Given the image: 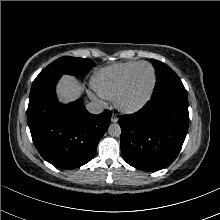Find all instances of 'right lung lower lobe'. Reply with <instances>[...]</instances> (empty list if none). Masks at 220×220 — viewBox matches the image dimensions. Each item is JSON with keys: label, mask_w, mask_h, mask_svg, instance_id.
<instances>
[{"label": "right lung lower lobe", "mask_w": 220, "mask_h": 220, "mask_svg": "<svg viewBox=\"0 0 220 220\" xmlns=\"http://www.w3.org/2000/svg\"><path fill=\"white\" fill-rule=\"evenodd\" d=\"M61 75L34 81L27 110L28 125L40 155L62 169L89 162L110 125L111 111L89 113L81 99L63 105L55 95Z\"/></svg>", "instance_id": "obj_1"}]
</instances>
